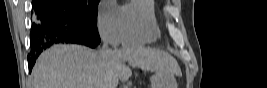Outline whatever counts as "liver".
I'll return each instance as SVG.
<instances>
[{
	"instance_id": "6515ba94",
	"label": "liver",
	"mask_w": 267,
	"mask_h": 88,
	"mask_svg": "<svg viewBox=\"0 0 267 88\" xmlns=\"http://www.w3.org/2000/svg\"><path fill=\"white\" fill-rule=\"evenodd\" d=\"M143 71L180 74L177 61L167 52L142 46L110 50L106 54L74 44L52 46L37 59L34 88H115L132 74L126 65Z\"/></svg>"
}]
</instances>
